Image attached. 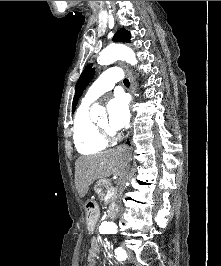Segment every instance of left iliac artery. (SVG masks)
<instances>
[{
	"label": "left iliac artery",
	"instance_id": "left-iliac-artery-1",
	"mask_svg": "<svg viewBox=\"0 0 221 266\" xmlns=\"http://www.w3.org/2000/svg\"><path fill=\"white\" fill-rule=\"evenodd\" d=\"M115 254L119 260H125L127 258L126 251L121 247L115 249Z\"/></svg>",
	"mask_w": 221,
	"mask_h": 266
}]
</instances>
